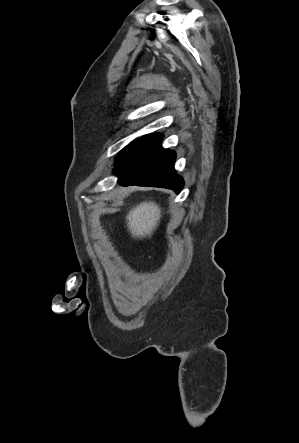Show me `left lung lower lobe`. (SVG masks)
I'll list each match as a JSON object with an SVG mask.
<instances>
[{"label":"left lung lower lobe","instance_id":"1","mask_svg":"<svg viewBox=\"0 0 299 443\" xmlns=\"http://www.w3.org/2000/svg\"><path fill=\"white\" fill-rule=\"evenodd\" d=\"M161 134L138 139L117 161L115 173L122 186L139 185L173 189L179 193L183 179L174 170L175 153L161 147Z\"/></svg>","mask_w":299,"mask_h":443}]
</instances>
